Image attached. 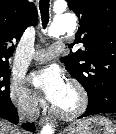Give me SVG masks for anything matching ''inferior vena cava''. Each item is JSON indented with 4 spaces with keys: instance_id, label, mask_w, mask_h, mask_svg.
<instances>
[{
    "instance_id": "1",
    "label": "inferior vena cava",
    "mask_w": 116,
    "mask_h": 134,
    "mask_svg": "<svg viewBox=\"0 0 116 134\" xmlns=\"http://www.w3.org/2000/svg\"><path fill=\"white\" fill-rule=\"evenodd\" d=\"M39 116V108L36 98H32L27 104L19 108L20 121L34 122Z\"/></svg>"
}]
</instances>
